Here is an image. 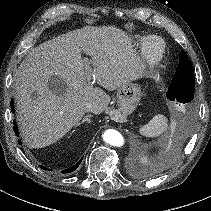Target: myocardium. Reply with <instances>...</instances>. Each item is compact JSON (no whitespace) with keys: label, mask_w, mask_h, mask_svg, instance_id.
Instances as JSON below:
<instances>
[{"label":"myocardium","mask_w":211,"mask_h":211,"mask_svg":"<svg viewBox=\"0 0 211 211\" xmlns=\"http://www.w3.org/2000/svg\"><path fill=\"white\" fill-rule=\"evenodd\" d=\"M165 51V41L156 35L146 37L141 46L142 57L150 66L160 63L165 55Z\"/></svg>","instance_id":"f54148a6"}]
</instances>
